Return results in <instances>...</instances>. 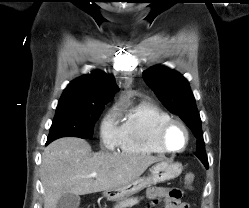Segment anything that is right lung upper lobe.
I'll use <instances>...</instances> for the list:
<instances>
[{
	"label": "right lung upper lobe",
	"mask_w": 249,
	"mask_h": 208,
	"mask_svg": "<svg viewBox=\"0 0 249 208\" xmlns=\"http://www.w3.org/2000/svg\"><path fill=\"white\" fill-rule=\"evenodd\" d=\"M118 89L112 75L97 70L70 82L62 94L58 106H104L113 98Z\"/></svg>",
	"instance_id": "cb5924a9"
}]
</instances>
